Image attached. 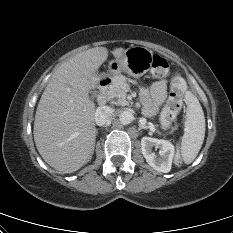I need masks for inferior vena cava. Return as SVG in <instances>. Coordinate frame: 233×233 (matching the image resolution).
<instances>
[{"instance_id": "inferior-vena-cava-1", "label": "inferior vena cava", "mask_w": 233, "mask_h": 233, "mask_svg": "<svg viewBox=\"0 0 233 233\" xmlns=\"http://www.w3.org/2000/svg\"><path fill=\"white\" fill-rule=\"evenodd\" d=\"M113 108L109 106L98 107L95 112V122L98 126H105L111 122L113 117Z\"/></svg>"}]
</instances>
